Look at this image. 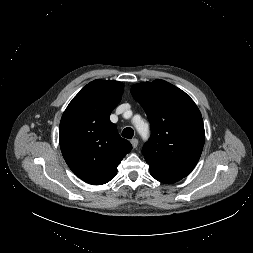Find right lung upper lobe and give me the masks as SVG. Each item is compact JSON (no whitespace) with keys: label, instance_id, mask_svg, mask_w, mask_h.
<instances>
[{"label":"right lung upper lobe","instance_id":"obj_1","mask_svg":"<svg viewBox=\"0 0 253 253\" xmlns=\"http://www.w3.org/2000/svg\"><path fill=\"white\" fill-rule=\"evenodd\" d=\"M124 90L119 81L94 80L69 103L59 127L62 155L83 181L102 185L117 174V166L132 149L110 121Z\"/></svg>","mask_w":253,"mask_h":253}]
</instances>
